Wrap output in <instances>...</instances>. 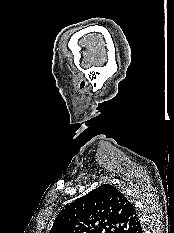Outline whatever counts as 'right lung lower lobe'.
I'll use <instances>...</instances> for the list:
<instances>
[{
	"label": "right lung lower lobe",
	"instance_id": "1",
	"mask_svg": "<svg viewBox=\"0 0 174 233\" xmlns=\"http://www.w3.org/2000/svg\"><path fill=\"white\" fill-rule=\"evenodd\" d=\"M136 233H142V228H140Z\"/></svg>",
	"mask_w": 174,
	"mask_h": 233
}]
</instances>
